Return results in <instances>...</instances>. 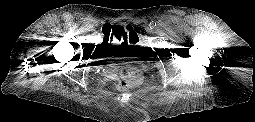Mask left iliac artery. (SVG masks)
I'll use <instances>...</instances> for the list:
<instances>
[{
  "mask_svg": "<svg viewBox=\"0 0 255 122\" xmlns=\"http://www.w3.org/2000/svg\"><path fill=\"white\" fill-rule=\"evenodd\" d=\"M154 27H156V22H153V21H152V22L150 23V28H154Z\"/></svg>",
  "mask_w": 255,
  "mask_h": 122,
  "instance_id": "obj_1",
  "label": "left iliac artery"
}]
</instances>
